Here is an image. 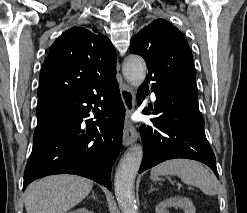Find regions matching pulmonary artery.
<instances>
[{"mask_svg":"<svg viewBox=\"0 0 247 213\" xmlns=\"http://www.w3.org/2000/svg\"><path fill=\"white\" fill-rule=\"evenodd\" d=\"M151 97L154 99L155 98V94L154 93H151Z\"/></svg>","mask_w":247,"mask_h":213,"instance_id":"obj_1","label":"pulmonary artery"}]
</instances>
